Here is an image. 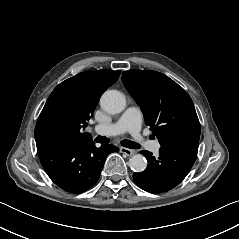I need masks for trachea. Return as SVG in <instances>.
<instances>
[{
  "mask_svg": "<svg viewBox=\"0 0 239 239\" xmlns=\"http://www.w3.org/2000/svg\"><path fill=\"white\" fill-rule=\"evenodd\" d=\"M95 141L97 143H103V144H106V143H109L110 142V139L105 137V136H101V135H98L96 138H95ZM121 145L126 147V148H131V149H138L140 147V145L136 142H133V141H130V140H122L121 141Z\"/></svg>",
  "mask_w": 239,
  "mask_h": 239,
  "instance_id": "1",
  "label": "trachea"
}]
</instances>
